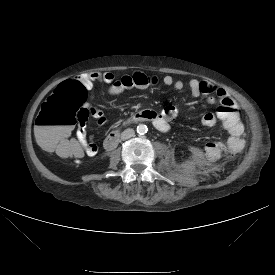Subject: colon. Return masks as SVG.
<instances>
[{"instance_id": "1", "label": "colon", "mask_w": 275, "mask_h": 275, "mask_svg": "<svg viewBox=\"0 0 275 275\" xmlns=\"http://www.w3.org/2000/svg\"><path fill=\"white\" fill-rule=\"evenodd\" d=\"M152 81L148 75L135 73L125 76L122 82H114L111 90L120 96L126 89L148 88ZM87 94V88L79 80H68L59 84L43 103L36 118V138L44 150H55L63 156L82 154L79 144L70 141L67 134L76 124L86 123L90 117V108L85 105ZM216 115L224 129L233 130L240 125L237 106L230 101L221 103Z\"/></svg>"}]
</instances>
